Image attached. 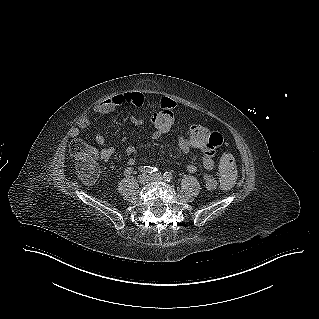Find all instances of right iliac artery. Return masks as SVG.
Segmentation results:
<instances>
[{
    "label": "right iliac artery",
    "mask_w": 319,
    "mask_h": 319,
    "mask_svg": "<svg viewBox=\"0 0 319 319\" xmlns=\"http://www.w3.org/2000/svg\"><path fill=\"white\" fill-rule=\"evenodd\" d=\"M139 170L143 173H153V172H156L158 171V169L156 167H150V166H141L139 167Z\"/></svg>",
    "instance_id": "right-iliac-artery-1"
}]
</instances>
